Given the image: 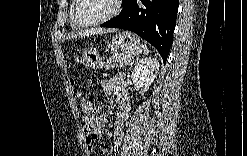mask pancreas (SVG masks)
Instances as JSON below:
<instances>
[{
	"instance_id": "1",
	"label": "pancreas",
	"mask_w": 247,
	"mask_h": 156,
	"mask_svg": "<svg viewBox=\"0 0 247 156\" xmlns=\"http://www.w3.org/2000/svg\"><path fill=\"white\" fill-rule=\"evenodd\" d=\"M133 61V58L125 53H114L105 65V69H113L114 67L126 66Z\"/></svg>"
}]
</instances>
